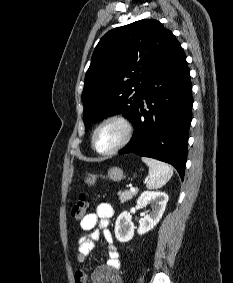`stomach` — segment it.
Listing matches in <instances>:
<instances>
[{"label": "stomach", "mask_w": 233, "mask_h": 283, "mask_svg": "<svg viewBox=\"0 0 233 283\" xmlns=\"http://www.w3.org/2000/svg\"><path fill=\"white\" fill-rule=\"evenodd\" d=\"M123 170L119 167H113L108 170V178L112 181L118 182L124 178ZM96 182V175L90 174L86 178V183L94 185Z\"/></svg>", "instance_id": "stomach-1"}]
</instances>
